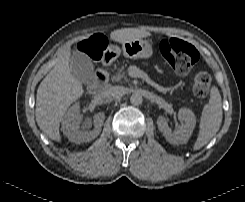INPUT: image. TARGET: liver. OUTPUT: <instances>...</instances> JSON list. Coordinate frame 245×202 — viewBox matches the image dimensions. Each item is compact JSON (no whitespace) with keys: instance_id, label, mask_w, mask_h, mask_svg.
<instances>
[{"instance_id":"obj_1","label":"liver","mask_w":245,"mask_h":202,"mask_svg":"<svg viewBox=\"0 0 245 202\" xmlns=\"http://www.w3.org/2000/svg\"><path fill=\"white\" fill-rule=\"evenodd\" d=\"M150 36V33L137 28L118 29L110 38L119 43ZM87 36L75 38L72 43L86 39ZM70 46L53 69L40 83L36 95V121L40 129L52 140L60 141V122L68 107L79 99L84 89L82 83L70 72Z\"/></svg>"}]
</instances>
